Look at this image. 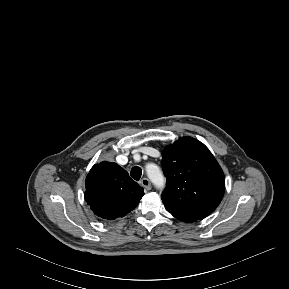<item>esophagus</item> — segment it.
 <instances>
[{"instance_id": "34e87169", "label": "esophagus", "mask_w": 289, "mask_h": 289, "mask_svg": "<svg viewBox=\"0 0 289 289\" xmlns=\"http://www.w3.org/2000/svg\"><path fill=\"white\" fill-rule=\"evenodd\" d=\"M142 187H144L146 190H150L152 188L151 182L148 178H143L140 182Z\"/></svg>"}]
</instances>
